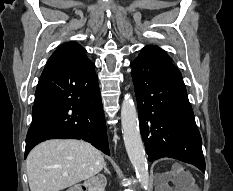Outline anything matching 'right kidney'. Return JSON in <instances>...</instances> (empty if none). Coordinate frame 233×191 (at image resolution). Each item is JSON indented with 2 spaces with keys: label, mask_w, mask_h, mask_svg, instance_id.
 Here are the masks:
<instances>
[{
  "label": "right kidney",
  "mask_w": 233,
  "mask_h": 191,
  "mask_svg": "<svg viewBox=\"0 0 233 191\" xmlns=\"http://www.w3.org/2000/svg\"><path fill=\"white\" fill-rule=\"evenodd\" d=\"M90 190L89 191H104V188L102 186H93L92 184H89ZM73 191V190H69Z\"/></svg>",
  "instance_id": "ca27d5eb"
}]
</instances>
